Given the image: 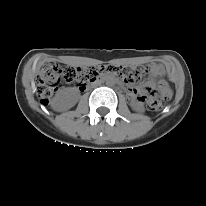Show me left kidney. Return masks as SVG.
Returning a JSON list of instances; mask_svg holds the SVG:
<instances>
[{
	"mask_svg": "<svg viewBox=\"0 0 206 206\" xmlns=\"http://www.w3.org/2000/svg\"><path fill=\"white\" fill-rule=\"evenodd\" d=\"M133 108L137 111H140L141 110V106L140 105H134Z\"/></svg>",
	"mask_w": 206,
	"mask_h": 206,
	"instance_id": "obj_1",
	"label": "left kidney"
}]
</instances>
